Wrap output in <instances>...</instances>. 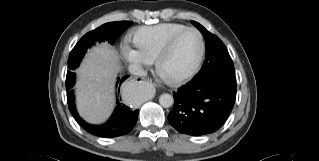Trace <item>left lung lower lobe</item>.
I'll list each match as a JSON object with an SVG mask.
<instances>
[{"mask_svg": "<svg viewBox=\"0 0 319 161\" xmlns=\"http://www.w3.org/2000/svg\"><path fill=\"white\" fill-rule=\"evenodd\" d=\"M170 124L180 133L215 132L228 118L236 99V83L221 78L194 79L173 92Z\"/></svg>", "mask_w": 319, "mask_h": 161, "instance_id": "1", "label": "left lung lower lobe"}]
</instances>
